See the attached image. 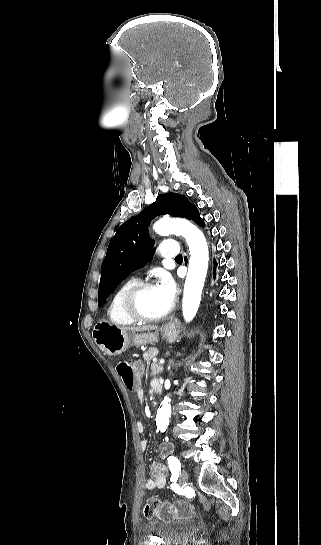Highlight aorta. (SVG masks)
I'll return each mask as SVG.
<instances>
[{
    "mask_svg": "<svg viewBox=\"0 0 321 545\" xmlns=\"http://www.w3.org/2000/svg\"><path fill=\"white\" fill-rule=\"evenodd\" d=\"M153 230L162 236L182 235L189 246L191 257L184 285L182 310L184 319L190 322L198 311L208 269L209 252L206 238L198 227L183 219L162 218L153 225ZM170 401L171 399L166 396L156 415L157 427L161 432H165L169 425Z\"/></svg>",
    "mask_w": 321,
    "mask_h": 545,
    "instance_id": "762f6f07",
    "label": "aorta"
}]
</instances>
